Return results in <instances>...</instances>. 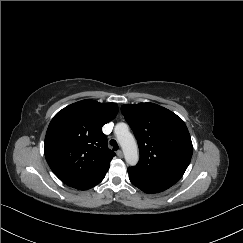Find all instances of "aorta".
Returning a JSON list of instances; mask_svg holds the SVG:
<instances>
[{
  "label": "aorta",
  "mask_w": 243,
  "mask_h": 243,
  "mask_svg": "<svg viewBox=\"0 0 243 243\" xmlns=\"http://www.w3.org/2000/svg\"><path fill=\"white\" fill-rule=\"evenodd\" d=\"M115 134L123 150L125 160L130 166L138 163V146L134 136L130 133L127 124L118 123L115 126Z\"/></svg>",
  "instance_id": "aorta-1"
}]
</instances>
